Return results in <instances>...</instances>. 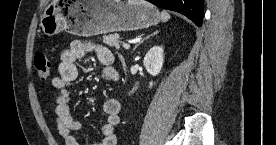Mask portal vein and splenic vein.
Instances as JSON below:
<instances>
[{
	"instance_id": "1",
	"label": "portal vein and splenic vein",
	"mask_w": 276,
	"mask_h": 145,
	"mask_svg": "<svg viewBox=\"0 0 276 145\" xmlns=\"http://www.w3.org/2000/svg\"><path fill=\"white\" fill-rule=\"evenodd\" d=\"M122 46H123V48H124V49H129V48H130V45H129V44H127V43H123V45H122Z\"/></svg>"
}]
</instances>
